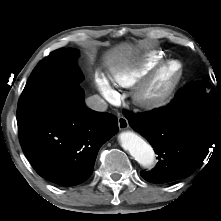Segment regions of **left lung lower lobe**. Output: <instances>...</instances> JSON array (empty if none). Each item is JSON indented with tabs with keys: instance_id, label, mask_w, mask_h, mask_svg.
<instances>
[{
	"instance_id": "1",
	"label": "left lung lower lobe",
	"mask_w": 221,
	"mask_h": 221,
	"mask_svg": "<svg viewBox=\"0 0 221 221\" xmlns=\"http://www.w3.org/2000/svg\"><path fill=\"white\" fill-rule=\"evenodd\" d=\"M125 116L159 155L154 170L141 172L151 183L162 184L190 176L201 165L209 148L221 140L220 113L175 112L167 106L140 115L125 113Z\"/></svg>"
}]
</instances>
